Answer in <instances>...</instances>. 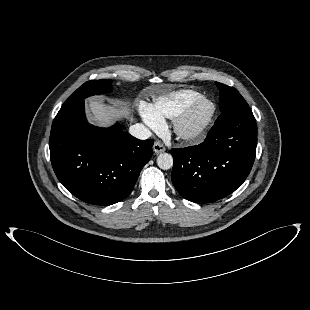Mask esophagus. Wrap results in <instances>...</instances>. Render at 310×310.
Here are the masks:
<instances>
[{
	"label": "esophagus",
	"mask_w": 310,
	"mask_h": 310,
	"mask_svg": "<svg viewBox=\"0 0 310 310\" xmlns=\"http://www.w3.org/2000/svg\"><path fill=\"white\" fill-rule=\"evenodd\" d=\"M153 151L155 154H160L165 151V147L161 142L157 141L153 145Z\"/></svg>",
	"instance_id": "1"
}]
</instances>
